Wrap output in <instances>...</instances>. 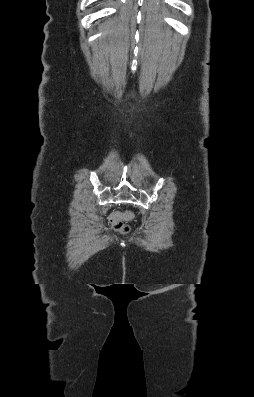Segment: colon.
Segmentation results:
<instances>
[{"label":"colon","instance_id":"colon-1","mask_svg":"<svg viewBox=\"0 0 254 397\" xmlns=\"http://www.w3.org/2000/svg\"><path fill=\"white\" fill-rule=\"evenodd\" d=\"M134 214L131 211L116 212L111 216V225L114 230L121 233H128L130 230L127 221L132 219Z\"/></svg>","mask_w":254,"mask_h":397}]
</instances>
